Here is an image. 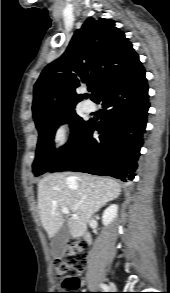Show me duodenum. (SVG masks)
<instances>
[{
  "instance_id": "duodenum-1",
  "label": "duodenum",
  "mask_w": 170,
  "mask_h": 293,
  "mask_svg": "<svg viewBox=\"0 0 170 293\" xmlns=\"http://www.w3.org/2000/svg\"><path fill=\"white\" fill-rule=\"evenodd\" d=\"M84 240L87 244H90L91 243V236L89 234H86L85 237H84Z\"/></svg>"
}]
</instances>
